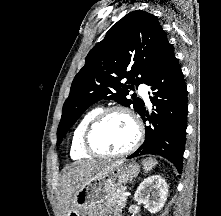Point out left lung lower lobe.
I'll use <instances>...</instances> for the list:
<instances>
[{
	"label": "left lung lower lobe",
	"instance_id": "1",
	"mask_svg": "<svg viewBox=\"0 0 221 216\" xmlns=\"http://www.w3.org/2000/svg\"><path fill=\"white\" fill-rule=\"evenodd\" d=\"M147 85L154 111L149 116L143 108L140 116L149 121L146 137L139 149L128 159L154 154L171 161L182 172L187 124V88L171 44H167L152 69ZM147 117V119H146Z\"/></svg>",
	"mask_w": 221,
	"mask_h": 216
}]
</instances>
